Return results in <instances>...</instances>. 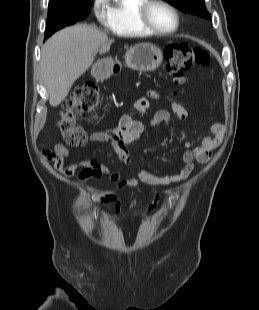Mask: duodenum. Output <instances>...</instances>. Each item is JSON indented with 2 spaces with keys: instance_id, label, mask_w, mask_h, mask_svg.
<instances>
[{
  "instance_id": "1",
  "label": "duodenum",
  "mask_w": 259,
  "mask_h": 310,
  "mask_svg": "<svg viewBox=\"0 0 259 310\" xmlns=\"http://www.w3.org/2000/svg\"><path fill=\"white\" fill-rule=\"evenodd\" d=\"M112 71H113V73H118V71H119V67H118V65H117V64H114V65H113V67H112Z\"/></svg>"
}]
</instances>
